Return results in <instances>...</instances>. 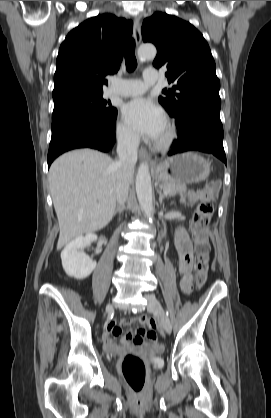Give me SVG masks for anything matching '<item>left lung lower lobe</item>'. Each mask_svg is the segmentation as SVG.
<instances>
[{"label": "left lung lower lobe", "instance_id": "obj_1", "mask_svg": "<svg viewBox=\"0 0 271 418\" xmlns=\"http://www.w3.org/2000/svg\"><path fill=\"white\" fill-rule=\"evenodd\" d=\"M175 122L179 137L174 141L169 156L194 150L215 155L226 163L219 111L200 109L177 117Z\"/></svg>", "mask_w": 271, "mask_h": 418}]
</instances>
